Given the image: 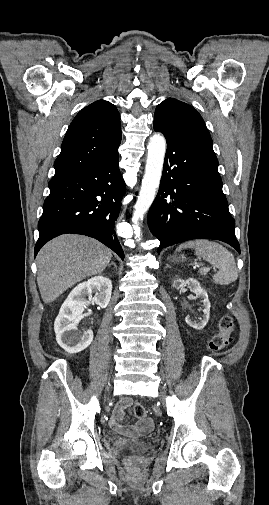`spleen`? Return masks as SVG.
Segmentation results:
<instances>
[{"mask_svg":"<svg viewBox=\"0 0 269 505\" xmlns=\"http://www.w3.org/2000/svg\"><path fill=\"white\" fill-rule=\"evenodd\" d=\"M187 248L194 249L197 256L219 268L213 276L215 283L227 285L237 280L238 271L234 256L223 245L207 239H196L180 244L176 251Z\"/></svg>","mask_w":269,"mask_h":505,"instance_id":"1","label":"spleen"}]
</instances>
